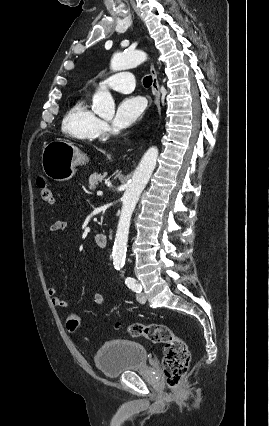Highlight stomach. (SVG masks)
<instances>
[{"label":"stomach","instance_id":"0dacf381","mask_svg":"<svg viewBox=\"0 0 269 426\" xmlns=\"http://www.w3.org/2000/svg\"><path fill=\"white\" fill-rule=\"evenodd\" d=\"M88 162L87 156L73 144L57 139L50 141L42 151L45 175L58 182L70 180L79 165Z\"/></svg>","mask_w":269,"mask_h":426}]
</instances>
